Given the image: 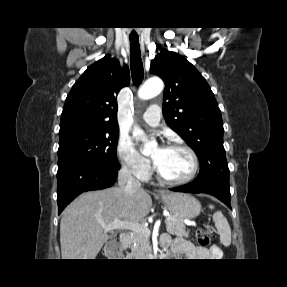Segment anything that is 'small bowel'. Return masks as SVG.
<instances>
[{"label": "small bowel", "mask_w": 287, "mask_h": 287, "mask_svg": "<svg viewBox=\"0 0 287 287\" xmlns=\"http://www.w3.org/2000/svg\"><path fill=\"white\" fill-rule=\"evenodd\" d=\"M162 245L166 246L169 254L175 257H184L186 259H207L211 256H218L220 249L212 246L210 249L195 246L183 238L171 240L168 235L161 237Z\"/></svg>", "instance_id": "c3829d8e"}]
</instances>
